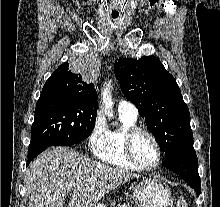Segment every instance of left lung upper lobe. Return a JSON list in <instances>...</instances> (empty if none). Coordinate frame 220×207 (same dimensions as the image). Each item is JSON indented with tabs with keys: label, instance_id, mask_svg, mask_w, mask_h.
<instances>
[{
	"label": "left lung upper lobe",
	"instance_id": "obj_1",
	"mask_svg": "<svg viewBox=\"0 0 220 207\" xmlns=\"http://www.w3.org/2000/svg\"><path fill=\"white\" fill-rule=\"evenodd\" d=\"M114 71L123 94L137 107L166 155L193 145L189 109L176 80L158 58H121Z\"/></svg>",
	"mask_w": 220,
	"mask_h": 207
}]
</instances>
